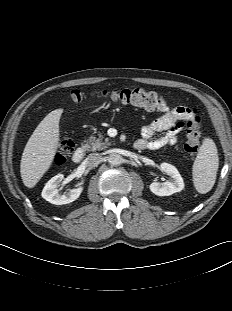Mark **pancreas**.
Segmentation results:
<instances>
[{
    "instance_id": "pancreas-1",
    "label": "pancreas",
    "mask_w": 232,
    "mask_h": 311,
    "mask_svg": "<svg viewBox=\"0 0 232 311\" xmlns=\"http://www.w3.org/2000/svg\"><path fill=\"white\" fill-rule=\"evenodd\" d=\"M103 135L100 133L98 134V138L95 136H90L89 139H87L86 143L84 144L83 148L88 151H99L103 150L107 147V145H111L108 138L105 139L103 142Z\"/></svg>"
}]
</instances>
